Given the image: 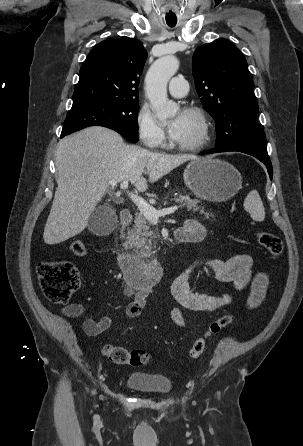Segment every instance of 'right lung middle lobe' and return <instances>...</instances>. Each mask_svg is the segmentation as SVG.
<instances>
[{"label": "right lung middle lobe", "mask_w": 303, "mask_h": 446, "mask_svg": "<svg viewBox=\"0 0 303 446\" xmlns=\"http://www.w3.org/2000/svg\"><path fill=\"white\" fill-rule=\"evenodd\" d=\"M138 101H108L72 108L61 136L89 126H104L117 131L129 141H138Z\"/></svg>", "instance_id": "1"}]
</instances>
